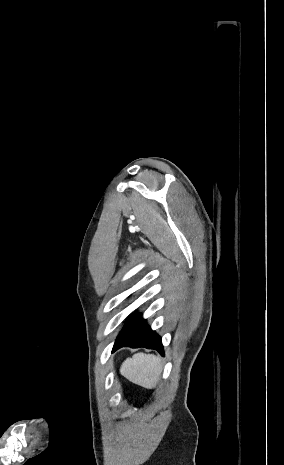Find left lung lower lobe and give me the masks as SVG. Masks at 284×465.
Instances as JSON below:
<instances>
[{
	"mask_svg": "<svg viewBox=\"0 0 284 465\" xmlns=\"http://www.w3.org/2000/svg\"><path fill=\"white\" fill-rule=\"evenodd\" d=\"M126 346L155 349L164 355L161 337L147 325L146 320L142 319L140 314L128 319L115 341L112 352Z\"/></svg>",
	"mask_w": 284,
	"mask_h": 465,
	"instance_id": "1",
	"label": "left lung lower lobe"
}]
</instances>
